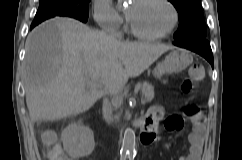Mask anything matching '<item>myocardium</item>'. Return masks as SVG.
I'll use <instances>...</instances> for the list:
<instances>
[{
	"label": "myocardium",
	"mask_w": 242,
	"mask_h": 160,
	"mask_svg": "<svg viewBox=\"0 0 242 160\" xmlns=\"http://www.w3.org/2000/svg\"><path fill=\"white\" fill-rule=\"evenodd\" d=\"M162 1L169 6V8L171 9V11L173 13V21H172L171 26L165 32L160 33V34H156V35L142 34L134 27L129 16L127 15L128 29L134 37H136L140 40H144V41H157V40L166 38L176 29V27L178 26V23H179V11L171 0H162Z\"/></svg>",
	"instance_id": "f54148a6"
}]
</instances>
